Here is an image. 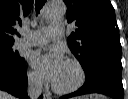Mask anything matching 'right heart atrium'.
Masks as SVG:
<instances>
[{"mask_svg":"<svg viewBox=\"0 0 128 99\" xmlns=\"http://www.w3.org/2000/svg\"><path fill=\"white\" fill-rule=\"evenodd\" d=\"M27 78L29 84L33 87H40L43 84L42 76L35 70H29Z\"/></svg>","mask_w":128,"mask_h":99,"instance_id":"right-heart-atrium-1","label":"right heart atrium"}]
</instances>
